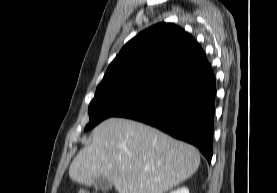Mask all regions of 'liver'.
I'll use <instances>...</instances> for the list:
<instances>
[{"mask_svg":"<svg viewBox=\"0 0 277 193\" xmlns=\"http://www.w3.org/2000/svg\"><path fill=\"white\" fill-rule=\"evenodd\" d=\"M200 164L197 149L145 124L109 118L76 155L70 178L85 186L105 177L118 193H165L191 177Z\"/></svg>","mask_w":277,"mask_h":193,"instance_id":"liver-1","label":"liver"}]
</instances>
